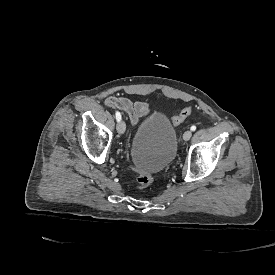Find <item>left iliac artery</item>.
<instances>
[{
  "instance_id": "obj_1",
  "label": "left iliac artery",
  "mask_w": 275,
  "mask_h": 275,
  "mask_svg": "<svg viewBox=\"0 0 275 275\" xmlns=\"http://www.w3.org/2000/svg\"><path fill=\"white\" fill-rule=\"evenodd\" d=\"M192 131H195L196 130V126L195 125H193V126H191V128H190Z\"/></svg>"
}]
</instances>
